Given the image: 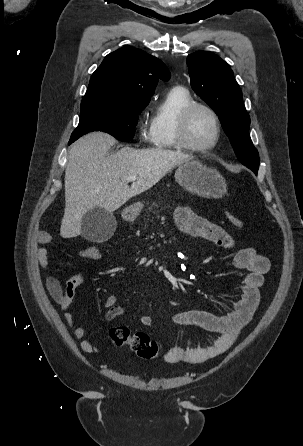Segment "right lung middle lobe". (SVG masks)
<instances>
[{
    "label": "right lung middle lobe",
    "instance_id": "obj_1",
    "mask_svg": "<svg viewBox=\"0 0 303 446\" xmlns=\"http://www.w3.org/2000/svg\"><path fill=\"white\" fill-rule=\"evenodd\" d=\"M146 105H103L93 104L81 106L78 127L73 131L69 144L82 135L92 131H103L121 141L133 138L138 114Z\"/></svg>",
    "mask_w": 303,
    "mask_h": 446
}]
</instances>
